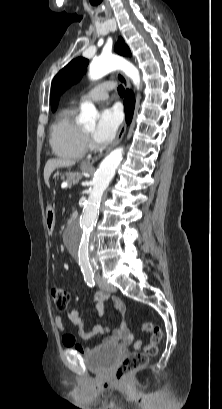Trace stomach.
I'll return each instance as SVG.
<instances>
[{"label":"stomach","mask_w":222,"mask_h":409,"mask_svg":"<svg viewBox=\"0 0 222 409\" xmlns=\"http://www.w3.org/2000/svg\"><path fill=\"white\" fill-rule=\"evenodd\" d=\"M81 170L83 172H89L91 170V168L81 166ZM54 225H55V211H54V208L52 206H48L47 210H46V228H47L48 232L53 231Z\"/></svg>","instance_id":"obj_1"}]
</instances>
